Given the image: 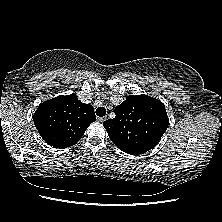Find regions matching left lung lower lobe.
<instances>
[{
	"instance_id": "obj_1",
	"label": "left lung lower lobe",
	"mask_w": 222,
	"mask_h": 222,
	"mask_svg": "<svg viewBox=\"0 0 222 222\" xmlns=\"http://www.w3.org/2000/svg\"><path fill=\"white\" fill-rule=\"evenodd\" d=\"M122 151L126 152L128 154H131V155H139V154H143L146 152L145 150H142V149H125Z\"/></svg>"
}]
</instances>
